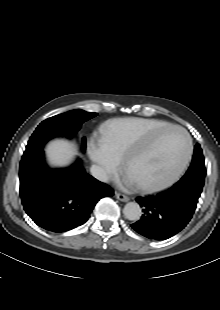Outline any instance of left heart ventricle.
Segmentation results:
<instances>
[{"mask_svg": "<svg viewBox=\"0 0 220 310\" xmlns=\"http://www.w3.org/2000/svg\"><path fill=\"white\" fill-rule=\"evenodd\" d=\"M185 151L184 136L178 132H166L155 151L146 157L133 160L128 167V172L137 181L151 179L162 182L177 170Z\"/></svg>", "mask_w": 220, "mask_h": 310, "instance_id": "1", "label": "left heart ventricle"}]
</instances>
